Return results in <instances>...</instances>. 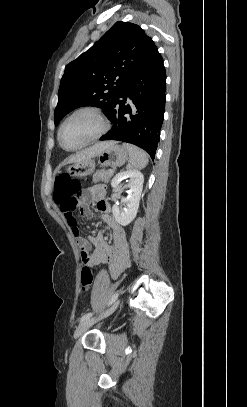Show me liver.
I'll use <instances>...</instances> for the list:
<instances>
[{
	"mask_svg": "<svg viewBox=\"0 0 247 407\" xmlns=\"http://www.w3.org/2000/svg\"><path fill=\"white\" fill-rule=\"evenodd\" d=\"M113 142H99L96 143L95 145L86 148L82 151L77 152L70 158H68L65 161V164H70V163H77L82 160L88 159V158H93L97 156L99 153H101L108 145H110Z\"/></svg>",
	"mask_w": 247,
	"mask_h": 407,
	"instance_id": "liver-1",
	"label": "liver"
}]
</instances>
